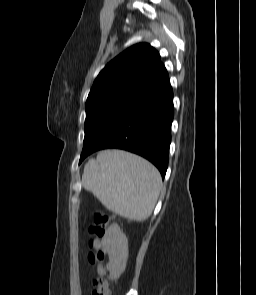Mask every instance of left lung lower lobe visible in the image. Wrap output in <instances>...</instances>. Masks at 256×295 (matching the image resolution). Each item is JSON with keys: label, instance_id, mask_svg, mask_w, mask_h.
Returning <instances> with one entry per match:
<instances>
[{"label": "left lung lower lobe", "instance_id": "0a47b994", "mask_svg": "<svg viewBox=\"0 0 256 295\" xmlns=\"http://www.w3.org/2000/svg\"><path fill=\"white\" fill-rule=\"evenodd\" d=\"M173 115V92L169 83L155 97L120 120L93 146L83 149L79 163L98 150L123 149L151 161L164 178Z\"/></svg>", "mask_w": 256, "mask_h": 295}]
</instances>
